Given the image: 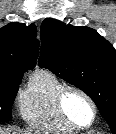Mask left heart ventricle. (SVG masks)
<instances>
[{
    "mask_svg": "<svg viewBox=\"0 0 116 134\" xmlns=\"http://www.w3.org/2000/svg\"><path fill=\"white\" fill-rule=\"evenodd\" d=\"M65 108L69 116L81 125H88L92 120V109L81 95L69 92L65 99Z\"/></svg>",
    "mask_w": 116,
    "mask_h": 134,
    "instance_id": "b2bd125f",
    "label": "left heart ventricle"
}]
</instances>
